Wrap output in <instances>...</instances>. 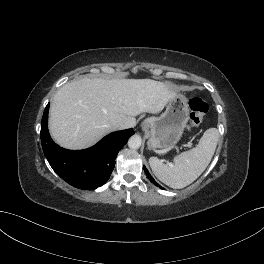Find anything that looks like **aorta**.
<instances>
[{"instance_id": "aorta-1", "label": "aorta", "mask_w": 264, "mask_h": 264, "mask_svg": "<svg viewBox=\"0 0 264 264\" xmlns=\"http://www.w3.org/2000/svg\"><path fill=\"white\" fill-rule=\"evenodd\" d=\"M128 146L131 149H138L141 146V137L139 135H133L128 140Z\"/></svg>"}]
</instances>
